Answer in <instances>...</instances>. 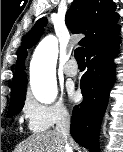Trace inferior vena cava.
<instances>
[{"label":"inferior vena cava","mask_w":123,"mask_h":152,"mask_svg":"<svg viewBox=\"0 0 123 152\" xmlns=\"http://www.w3.org/2000/svg\"><path fill=\"white\" fill-rule=\"evenodd\" d=\"M55 131L62 137L65 143V152H73L70 137V116L67 111H61L58 115Z\"/></svg>","instance_id":"inferior-vena-cava-1"}]
</instances>
